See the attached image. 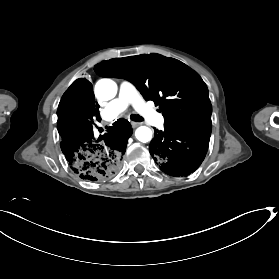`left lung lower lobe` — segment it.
<instances>
[{"instance_id":"obj_1","label":"left lung lower lobe","mask_w":279,"mask_h":279,"mask_svg":"<svg viewBox=\"0 0 279 279\" xmlns=\"http://www.w3.org/2000/svg\"><path fill=\"white\" fill-rule=\"evenodd\" d=\"M211 130H182L165 126L155 129L149 151L160 169L171 176H187L202 163L207 153Z\"/></svg>"}]
</instances>
